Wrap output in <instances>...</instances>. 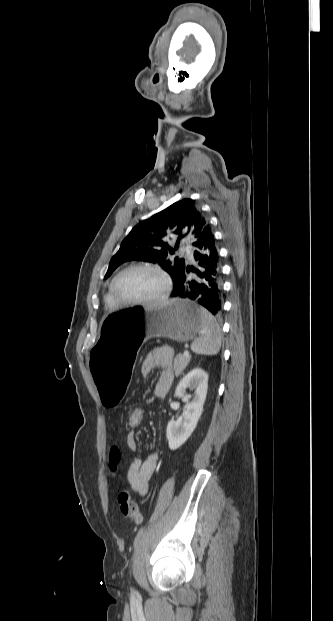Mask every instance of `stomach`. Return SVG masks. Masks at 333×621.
<instances>
[{
  "mask_svg": "<svg viewBox=\"0 0 333 621\" xmlns=\"http://www.w3.org/2000/svg\"><path fill=\"white\" fill-rule=\"evenodd\" d=\"M91 346L92 379L102 408L115 412L131 386L140 345L153 337L185 343L201 331L200 308L183 299L135 306L104 316Z\"/></svg>",
  "mask_w": 333,
  "mask_h": 621,
  "instance_id": "0dacf381",
  "label": "stomach"
}]
</instances>
